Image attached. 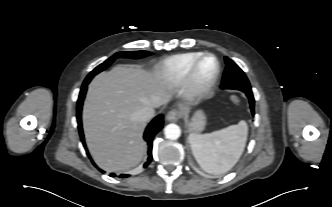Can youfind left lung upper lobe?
<instances>
[{"label":"left lung upper lobe","mask_w":332,"mask_h":207,"mask_svg":"<svg viewBox=\"0 0 332 207\" xmlns=\"http://www.w3.org/2000/svg\"><path fill=\"white\" fill-rule=\"evenodd\" d=\"M226 68L222 80L223 89H236L240 91L251 90V85L245 73L231 59L225 57Z\"/></svg>","instance_id":"left-lung-upper-lobe-1"}]
</instances>
